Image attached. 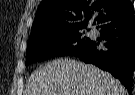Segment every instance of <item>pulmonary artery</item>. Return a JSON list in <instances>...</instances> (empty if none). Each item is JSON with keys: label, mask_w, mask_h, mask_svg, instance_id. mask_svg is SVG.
Returning <instances> with one entry per match:
<instances>
[{"label": "pulmonary artery", "mask_w": 135, "mask_h": 95, "mask_svg": "<svg viewBox=\"0 0 135 95\" xmlns=\"http://www.w3.org/2000/svg\"><path fill=\"white\" fill-rule=\"evenodd\" d=\"M90 33H91V34H95V30H91Z\"/></svg>", "instance_id": "obj_1"}]
</instances>
